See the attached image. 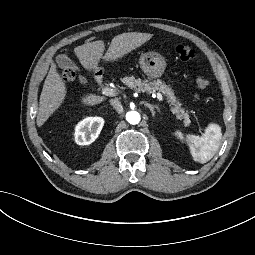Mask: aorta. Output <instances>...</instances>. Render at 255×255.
Listing matches in <instances>:
<instances>
[{"label":"aorta","instance_id":"1","mask_svg":"<svg viewBox=\"0 0 255 255\" xmlns=\"http://www.w3.org/2000/svg\"><path fill=\"white\" fill-rule=\"evenodd\" d=\"M140 119V114L137 111H129L126 114V120L132 125L138 124Z\"/></svg>","mask_w":255,"mask_h":255}]
</instances>
